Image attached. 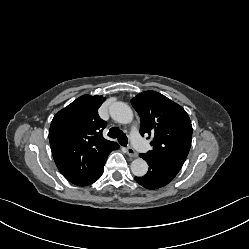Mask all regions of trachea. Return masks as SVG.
I'll return each instance as SVG.
<instances>
[{"mask_svg": "<svg viewBox=\"0 0 249 249\" xmlns=\"http://www.w3.org/2000/svg\"><path fill=\"white\" fill-rule=\"evenodd\" d=\"M108 136L111 138H117L118 142L122 146H127L128 144V138L125 133H123L118 127H112L110 128L108 132Z\"/></svg>", "mask_w": 249, "mask_h": 249, "instance_id": "3493384b", "label": "trachea"}]
</instances>
